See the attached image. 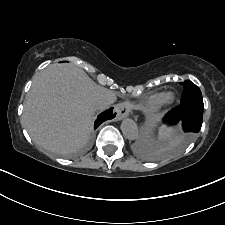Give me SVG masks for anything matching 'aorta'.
<instances>
[{
    "instance_id": "aorta-1",
    "label": "aorta",
    "mask_w": 225,
    "mask_h": 225,
    "mask_svg": "<svg viewBox=\"0 0 225 225\" xmlns=\"http://www.w3.org/2000/svg\"><path fill=\"white\" fill-rule=\"evenodd\" d=\"M121 130L129 140H136L139 136L137 124L132 119H124L121 123Z\"/></svg>"
}]
</instances>
